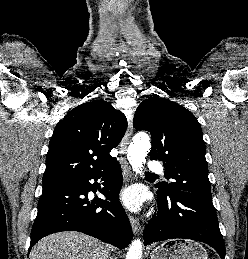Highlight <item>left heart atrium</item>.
<instances>
[{"label":"left heart atrium","instance_id":"39dd6f15","mask_svg":"<svg viewBox=\"0 0 248 259\" xmlns=\"http://www.w3.org/2000/svg\"><path fill=\"white\" fill-rule=\"evenodd\" d=\"M121 200L131 210H137L141 205V195L135 188L126 189L121 194Z\"/></svg>","mask_w":248,"mask_h":259}]
</instances>
